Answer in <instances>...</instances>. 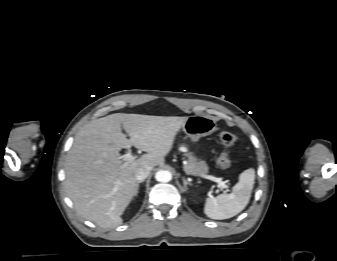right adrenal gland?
<instances>
[{
    "label": "right adrenal gland",
    "mask_w": 337,
    "mask_h": 261,
    "mask_svg": "<svg viewBox=\"0 0 337 261\" xmlns=\"http://www.w3.org/2000/svg\"><path fill=\"white\" fill-rule=\"evenodd\" d=\"M143 181H138L137 183V190H136V193H135V196L138 194V191H139V184L142 183Z\"/></svg>",
    "instance_id": "2a0ac1e0"
}]
</instances>
